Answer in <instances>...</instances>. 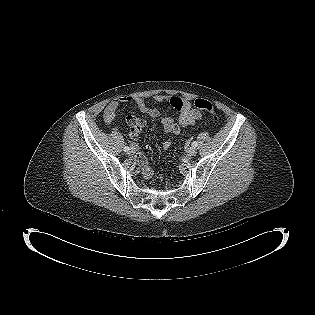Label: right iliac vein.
<instances>
[{
  "label": "right iliac vein",
  "instance_id": "obj_1",
  "mask_svg": "<svg viewBox=\"0 0 315 315\" xmlns=\"http://www.w3.org/2000/svg\"><path fill=\"white\" fill-rule=\"evenodd\" d=\"M135 152H136L135 148L132 147V148L130 149V151H129V154H130V155H133Z\"/></svg>",
  "mask_w": 315,
  "mask_h": 315
}]
</instances>
